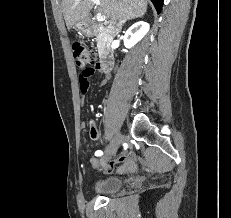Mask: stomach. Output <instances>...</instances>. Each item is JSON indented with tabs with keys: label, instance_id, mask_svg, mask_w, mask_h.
Listing matches in <instances>:
<instances>
[{
	"label": "stomach",
	"instance_id": "stomach-1",
	"mask_svg": "<svg viewBox=\"0 0 231 218\" xmlns=\"http://www.w3.org/2000/svg\"><path fill=\"white\" fill-rule=\"evenodd\" d=\"M74 29L79 33V34H87L88 33V28L87 24L85 21H79L74 24Z\"/></svg>",
	"mask_w": 231,
	"mask_h": 218
}]
</instances>
